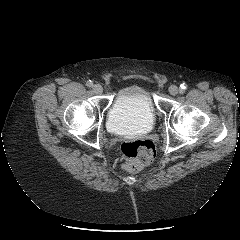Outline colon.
<instances>
[{"mask_svg": "<svg viewBox=\"0 0 240 240\" xmlns=\"http://www.w3.org/2000/svg\"><path fill=\"white\" fill-rule=\"evenodd\" d=\"M120 151L125 157V169L138 172L149 165L155 157V146L149 140H128L120 145Z\"/></svg>", "mask_w": 240, "mask_h": 240, "instance_id": "obj_1", "label": "colon"}]
</instances>
